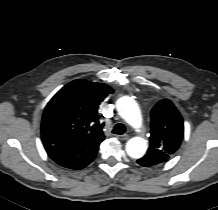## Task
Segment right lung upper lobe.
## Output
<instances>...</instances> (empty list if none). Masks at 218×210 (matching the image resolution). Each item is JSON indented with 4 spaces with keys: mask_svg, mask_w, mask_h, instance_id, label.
Segmentation results:
<instances>
[{
    "mask_svg": "<svg viewBox=\"0 0 218 210\" xmlns=\"http://www.w3.org/2000/svg\"><path fill=\"white\" fill-rule=\"evenodd\" d=\"M113 89L106 84L74 80L58 91L47 104L41 133L59 134L85 141L104 139L98 106Z\"/></svg>",
    "mask_w": 218,
    "mask_h": 210,
    "instance_id": "obj_1",
    "label": "right lung upper lobe"
}]
</instances>
